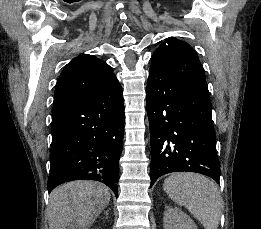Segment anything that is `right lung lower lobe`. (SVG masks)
Wrapping results in <instances>:
<instances>
[{"instance_id":"obj_1","label":"right lung lower lobe","mask_w":261,"mask_h":229,"mask_svg":"<svg viewBox=\"0 0 261 229\" xmlns=\"http://www.w3.org/2000/svg\"><path fill=\"white\" fill-rule=\"evenodd\" d=\"M48 191L73 180H95L117 197L124 137L122 89L115 77L52 118Z\"/></svg>"}]
</instances>
